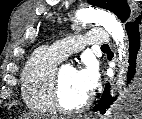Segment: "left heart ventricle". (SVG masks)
<instances>
[{
  "label": "left heart ventricle",
  "instance_id": "b2bd125f",
  "mask_svg": "<svg viewBox=\"0 0 142 119\" xmlns=\"http://www.w3.org/2000/svg\"><path fill=\"white\" fill-rule=\"evenodd\" d=\"M75 72L70 66L61 70V100L68 107L80 104L89 95L79 87Z\"/></svg>",
  "mask_w": 142,
  "mask_h": 119
}]
</instances>
